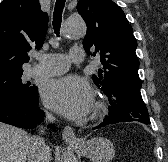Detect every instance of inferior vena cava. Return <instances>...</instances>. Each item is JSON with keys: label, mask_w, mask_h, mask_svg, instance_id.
I'll return each instance as SVG.
<instances>
[{"label": "inferior vena cava", "mask_w": 168, "mask_h": 162, "mask_svg": "<svg viewBox=\"0 0 168 162\" xmlns=\"http://www.w3.org/2000/svg\"><path fill=\"white\" fill-rule=\"evenodd\" d=\"M54 117L46 114L45 124L53 122ZM45 127L40 126V132L44 133ZM50 153V148L46 146L45 140L40 136H33L29 140V148L27 151L28 162H46L47 156Z\"/></svg>", "instance_id": "1"}]
</instances>
